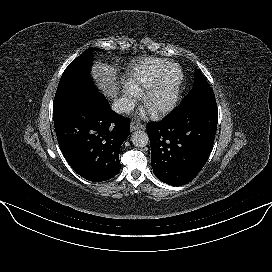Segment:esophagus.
<instances>
[{
    "label": "esophagus",
    "instance_id": "1",
    "mask_svg": "<svg viewBox=\"0 0 272 272\" xmlns=\"http://www.w3.org/2000/svg\"><path fill=\"white\" fill-rule=\"evenodd\" d=\"M144 125L142 123H140L139 121H133L130 124V130L134 131V130H139V129H143Z\"/></svg>",
    "mask_w": 272,
    "mask_h": 272
}]
</instances>
